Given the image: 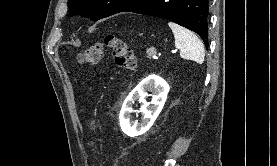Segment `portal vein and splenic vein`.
I'll return each mask as SVG.
<instances>
[{"mask_svg":"<svg viewBox=\"0 0 277 166\" xmlns=\"http://www.w3.org/2000/svg\"><path fill=\"white\" fill-rule=\"evenodd\" d=\"M176 51H177V50H175L174 52H176ZM150 58L157 59L158 56H156V53H152V54L150 55Z\"/></svg>","mask_w":277,"mask_h":166,"instance_id":"18ae733b","label":"portal vein and splenic vein"}]
</instances>
